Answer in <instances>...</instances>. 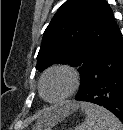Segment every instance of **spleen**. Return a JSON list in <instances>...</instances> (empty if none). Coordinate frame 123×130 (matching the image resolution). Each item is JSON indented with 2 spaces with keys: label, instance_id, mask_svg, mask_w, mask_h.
Returning <instances> with one entry per match:
<instances>
[{
  "label": "spleen",
  "instance_id": "spleen-1",
  "mask_svg": "<svg viewBox=\"0 0 123 130\" xmlns=\"http://www.w3.org/2000/svg\"><path fill=\"white\" fill-rule=\"evenodd\" d=\"M81 109L85 113V121L77 130H123L121 121L105 108L82 102Z\"/></svg>",
  "mask_w": 123,
  "mask_h": 130
}]
</instances>
